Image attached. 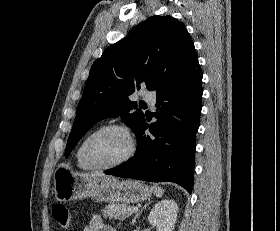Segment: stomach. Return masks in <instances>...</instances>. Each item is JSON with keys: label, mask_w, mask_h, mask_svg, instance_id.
Listing matches in <instances>:
<instances>
[{"label": "stomach", "mask_w": 280, "mask_h": 231, "mask_svg": "<svg viewBox=\"0 0 280 231\" xmlns=\"http://www.w3.org/2000/svg\"><path fill=\"white\" fill-rule=\"evenodd\" d=\"M54 193L57 201H72L81 197H92L96 201H118V203H138L149 199L151 187L132 179L115 177H84L77 175L70 167L59 165L53 173Z\"/></svg>", "instance_id": "stomach-1"}]
</instances>
